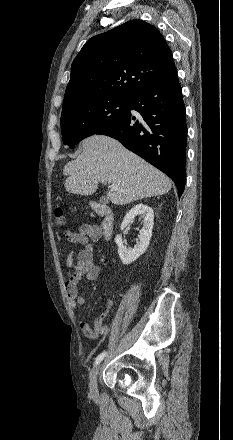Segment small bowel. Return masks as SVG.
<instances>
[{"label": "small bowel", "mask_w": 233, "mask_h": 440, "mask_svg": "<svg viewBox=\"0 0 233 440\" xmlns=\"http://www.w3.org/2000/svg\"><path fill=\"white\" fill-rule=\"evenodd\" d=\"M65 237L70 243L83 246L78 253H76L74 247L70 248L66 258L67 279L65 291L71 308H76L77 305H86V298L78 290L79 282L83 278L88 281H95L102 273V268L95 264L93 248V244L101 238V231L98 225L86 223L75 231H66ZM112 305V300H109L106 310L95 319L93 326L86 321H80V330L86 338L94 340L109 333L110 327L105 324V319Z\"/></svg>", "instance_id": "1"}]
</instances>
